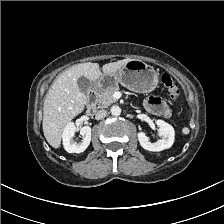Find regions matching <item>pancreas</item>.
I'll use <instances>...</instances> for the list:
<instances>
[{
    "label": "pancreas",
    "instance_id": "cf45deb5",
    "mask_svg": "<svg viewBox=\"0 0 224 224\" xmlns=\"http://www.w3.org/2000/svg\"><path fill=\"white\" fill-rule=\"evenodd\" d=\"M120 88L118 85L105 89L101 91L96 96V103L101 108H107L111 104L115 103L117 100L113 97V94L119 91Z\"/></svg>",
    "mask_w": 224,
    "mask_h": 224
}]
</instances>
